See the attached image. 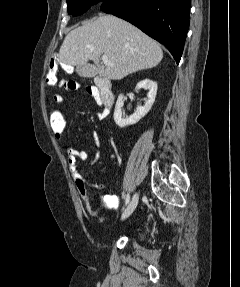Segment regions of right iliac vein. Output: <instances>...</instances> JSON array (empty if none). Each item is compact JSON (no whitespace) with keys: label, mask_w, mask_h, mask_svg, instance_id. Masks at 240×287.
Instances as JSON below:
<instances>
[{"label":"right iliac vein","mask_w":240,"mask_h":287,"mask_svg":"<svg viewBox=\"0 0 240 287\" xmlns=\"http://www.w3.org/2000/svg\"><path fill=\"white\" fill-rule=\"evenodd\" d=\"M138 201H139V195L137 193H135L133 195L129 205L127 206V208L123 212L122 219H126L127 217H129L133 213V211L135 210V208L138 204Z\"/></svg>","instance_id":"right-iliac-vein-1"}]
</instances>
